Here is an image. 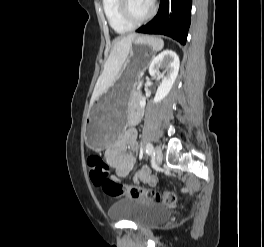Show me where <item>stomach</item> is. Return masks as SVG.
<instances>
[{"label":"stomach","mask_w":264,"mask_h":247,"mask_svg":"<svg viewBox=\"0 0 264 247\" xmlns=\"http://www.w3.org/2000/svg\"><path fill=\"white\" fill-rule=\"evenodd\" d=\"M145 38L135 40L122 75L113 86H109L107 96L94 101L89 112L85 121V141L94 151L104 150L122 133L133 86L140 73L149 68L147 62L152 58V48H148L150 45Z\"/></svg>","instance_id":"stomach-1"}]
</instances>
